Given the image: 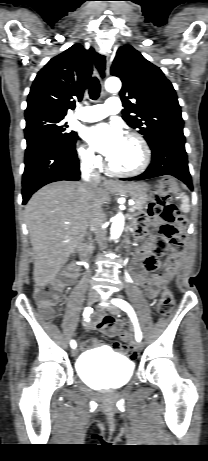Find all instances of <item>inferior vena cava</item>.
Returning <instances> with one entry per match:
<instances>
[{"mask_svg":"<svg viewBox=\"0 0 208 461\" xmlns=\"http://www.w3.org/2000/svg\"><path fill=\"white\" fill-rule=\"evenodd\" d=\"M82 178L87 188L93 192L100 184V176L93 173V163L91 158H85L81 164ZM104 214L101 208H94L89 219V226L95 233L96 239L101 248H104L103 240L105 238V230L103 229Z\"/></svg>","mask_w":208,"mask_h":461,"instance_id":"inferior-vena-cava-1","label":"inferior vena cava"}]
</instances>
